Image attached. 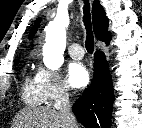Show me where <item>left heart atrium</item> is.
Returning a JSON list of instances; mask_svg holds the SVG:
<instances>
[{
	"mask_svg": "<svg viewBox=\"0 0 142 128\" xmlns=\"http://www.w3.org/2000/svg\"><path fill=\"white\" fill-rule=\"evenodd\" d=\"M89 73L80 63H71L67 69V80L74 89H82L89 83Z\"/></svg>",
	"mask_w": 142,
	"mask_h": 128,
	"instance_id": "1",
	"label": "left heart atrium"
}]
</instances>
